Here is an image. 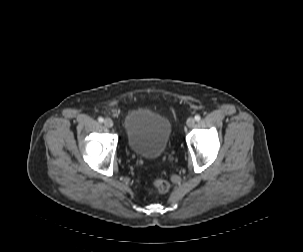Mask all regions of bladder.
I'll list each match as a JSON object with an SVG mask.
<instances>
[{"label": "bladder", "instance_id": "31cf9c89", "mask_svg": "<svg viewBox=\"0 0 303 252\" xmlns=\"http://www.w3.org/2000/svg\"><path fill=\"white\" fill-rule=\"evenodd\" d=\"M124 130L128 149L147 160L163 155L172 134L166 117L145 109L130 111L124 119Z\"/></svg>", "mask_w": 303, "mask_h": 252}]
</instances>
